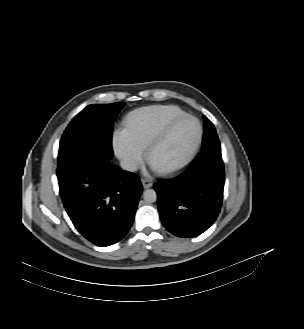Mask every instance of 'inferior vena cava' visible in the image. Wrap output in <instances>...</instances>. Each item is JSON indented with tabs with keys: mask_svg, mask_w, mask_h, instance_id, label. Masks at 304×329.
<instances>
[{
	"mask_svg": "<svg viewBox=\"0 0 304 329\" xmlns=\"http://www.w3.org/2000/svg\"><path fill=\"white\" fill-rule=\"evenodd\" d=\"M120 167L123 170L127 171H136L137 170V163L131 159H122L120 161Z\"/></svg>",
	"mask_w": 304,
	"mask_h": 329,
	"instance_id": "obj_1",
	"label": "inferior vena cava"
}]
</instances>
